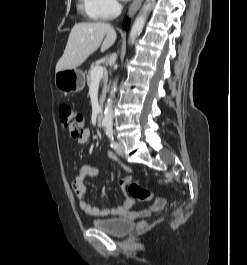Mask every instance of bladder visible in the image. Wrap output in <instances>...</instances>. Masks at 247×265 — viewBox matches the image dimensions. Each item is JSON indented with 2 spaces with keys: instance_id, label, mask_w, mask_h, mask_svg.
Listing matches in <instances>:
<instances>
[{
  "instance_id": "bladder-1",
  "label": "bladder",
  "mask_w": 247,
  "mask_h": 265,
  "mask_svg": "<svg viewBox=\"0 0 247 265\" xmlns=\"http://www.w3.org/2000/svg\"><path fill=\"white\" fill-rule=\"evenodd\" d=\"M91 225L118 238L129 235L136 227L133 222L123 218L95 219L91 221Z\"/></svg>"
}]
</instances>
